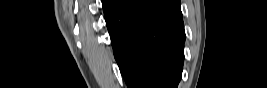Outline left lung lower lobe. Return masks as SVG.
<instances>
[{
  "instance_id": "left-lung-lower-lobe-1",
  "label": "left lung lower lobe",
  "mask_w": 267,
  "mask_h": 88,
  "mask_svg": "<svg viewBox=\"0 0 267 88\" xmlns=\"http://www.w3.org/2000/svg\"><path fill=\"white\" fill-rule=\"evenodd\" d=\"M102 6L128 88H177L185 40L180 0H102Z\"/></svg>"
}]
</instances>
